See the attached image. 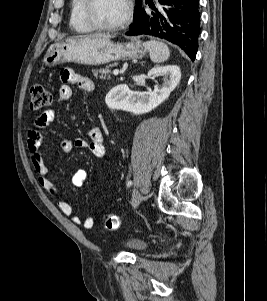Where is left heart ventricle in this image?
<instances>
[{
  "label": "left heart ventricle",
  "instance_id": "1",
  "mask_svg": "<svg viewBox=\"0 0 267 301\" xmlns=\"http://www.w3.org/2000/svg\"><path fill=\"white\" fill-rule=\"evenodd\" d=\"M124 0H96L94 15L96 19L105 25L117 23L124 15Z\"/></svg>",
  "mask_w": 267,
  "mask_h": 301
}]
</instances>
